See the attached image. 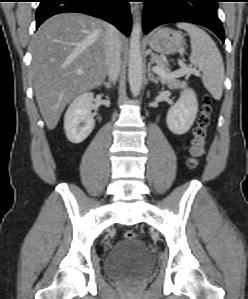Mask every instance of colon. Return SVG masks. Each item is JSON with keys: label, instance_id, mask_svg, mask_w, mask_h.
I'll return each mask as SVG.
<instances>
[{"label": "colon", "instance_id": "1", "mask_svg": "<svg viewBox=\"0 0 248 299\" xmlns=\"http://www.w3.org/2000/svg\"><path fill=\"white\" fill-rule=\"evenodd\" d=\"M212 113L213 109L211 97L205 95L203 97V105L198 119V124L194 129V138L190 147V158L188 160V166L191 169H194L198 165L199 159L205 152L208 130L211 125ZM123 236L127 240H134L136 239L137 234L132 230H127L124 232Z\"/></svg>", "mask_w": 248, "mask_h": 299}]
</instances>
